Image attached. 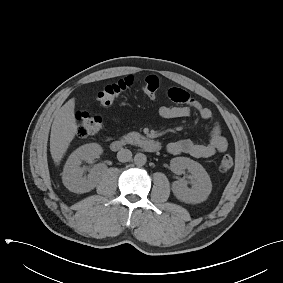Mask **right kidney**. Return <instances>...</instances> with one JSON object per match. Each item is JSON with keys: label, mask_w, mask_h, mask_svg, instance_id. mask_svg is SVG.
<instances>
[{"label": "right kidney", "mask_w": 283, "mask_h": 283, "mask_svg": "<svg viewBox=\"0 0 283 283\" xmlns=\"http://www.w3.org/2000/svg\"><path fill=\"white\" fill-rule=\"evenodd\" d=\"M103 152L97 143L83 145L76 149L68 158L62 175L64 186L74 193H86L94 189L99 181L101 167H93L87 176H83L82 161L91 163Z\"/></svg>", "instance_id": "right-kidney-1"}]
</instances>
